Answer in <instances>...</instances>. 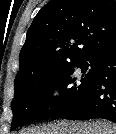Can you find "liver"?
<instances>
[{"mask_svg":"<svg viewBox=\"0 0 116 134\" xmlns=\"http://www.w3.org/2000/svg\"><path fill=\"white\" fill-rule=\"evenodd\" d=\"M23 134H116V128L108 122L75 123L57 122L41 128H34Z\"/></svg>","mask_w":116,"mask_h":134,"instance_id":"1","label":"liver"}]
</instances>
